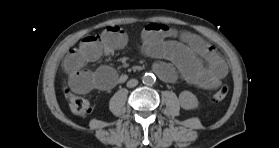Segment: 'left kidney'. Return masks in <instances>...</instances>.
<instances>
[{"label": "left kidney", "instance_id": "5707ae66", "mask_svg": "<svg viewBox=\"0 0 279 148\" xmlns=\"http://www.w3.org/2000/svg\"><path fill=\"white\" fill-rule=\"evenodd\" d=\"M179 101L185 110L195 109L199 105L197 97L190 91H182L179 94Z\"/></svg>", "mask_w": 279, "mask_h": 148}]
</instances>
